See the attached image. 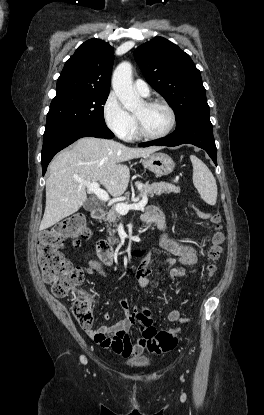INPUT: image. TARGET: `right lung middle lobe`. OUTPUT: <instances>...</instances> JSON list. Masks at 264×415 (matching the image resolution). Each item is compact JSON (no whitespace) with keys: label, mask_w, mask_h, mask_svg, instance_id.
Masks as SVG:
<instances>
[{"label":"right lung middle lobe","mask_w":264,"mask_h":415,"mask_svg":"<svg viewBox=\"0 0 264 415\" xmlns=\"http://www.w3.org/2000/svg\"><path fill=\"white\" fill-rule=\"evenodd\" d=\"M109 93H64L56 95L47 114L44 134L91 123L104 125L103 105Z\"/></svg>","instance_id":"right-lung-middle-lobe-1"}]
</instances>
